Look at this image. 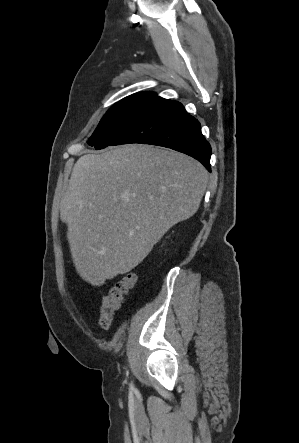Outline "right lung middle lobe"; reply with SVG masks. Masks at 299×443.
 Here are the masks:
<instances>
[{
    "instance_id": "obj_1",
    "label": "right lung middle lobe",
    "mask_w": 299,
    "mask_h": 443,
    "mask_svg": "<svg viewBox=\"0 0 299 443\" xmlns=\"http://www.w3.org/2000/svg\"><path fill=\"white\" fill-rule=\"evenodd\" d=\"M157 98L154 92H140L122 99L106 112L88 143L96 149L109 146Z\"/></svg>"
}]
</instances>
